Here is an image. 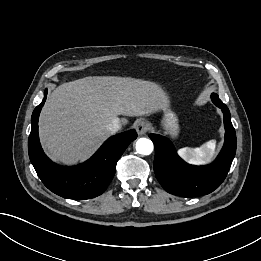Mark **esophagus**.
<instances>
[{"instance_id":"obj_1","label":"esophagus","mask_w":261,"mask_h":261,"mask_svg":"<svg viewBox=\"0 0 261 261\" xmlns=\"http://www.w3.org/2000/svg\"><path fill=\"white\" fill-rule=\"evenodd\" d=\"M148 127H149V124L145 121H139L135 125V129H136L138 135L145 134L148 130Z\"/></svg>"}]
</instances>
